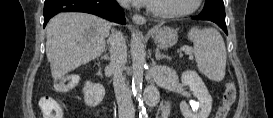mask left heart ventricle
<instances>
[{
	"label": "left heart ventricle",
	"mask_w": 273,
	"mask_h": 118,
	"mask_svg": "<svg viewBox=\"0 0 273 118\" xmlns=\"http://www.w3.org/2000/svg\"><path fill=\"white\" fill-rule=\"evenodd\" d=\"M193 0H155L151 5L158 11H182L192 5Z\"/></svg>",
	"instance_id": "1"
}]
</instances>
